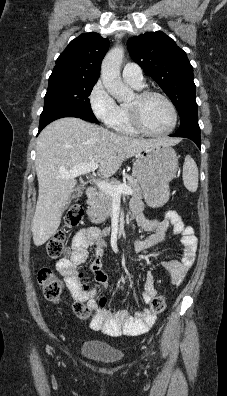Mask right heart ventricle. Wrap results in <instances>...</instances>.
<instances>
[{
  "label": "right heart ventricle",
  "mask_w": 227,
  "mask_h": 396,
  "mask_svg": "<svg viewBox=\"0 0 227 396\" xmlns=\"http://www.w3.org/2000/svg\"><path fill=\"white\" fill-rule=\"evenodd\" d=\"M132 85V84H131ZM136 89H140L141 87H136L132 85ZM109 126L116 132L125 134V135H137L139 132L133 127L129 111L128 105L120 104L118 105L117 113L113 120L109 123Z\"/></svg>",
  "instance_id": "1"
}]
</instances>
